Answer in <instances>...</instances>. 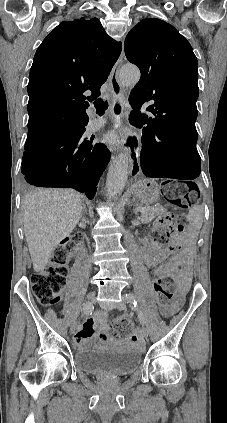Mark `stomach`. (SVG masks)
I'll return each mask as SVG.
<instances>
[{
    "mask_svg": "<svg viewBox=\"0 0 227 423\" xmlns=\"http://www.w3.org/2000/svg\"><path fill=\"white\" fill-rule=\"evenodd\" d=\"M132 192L137 202L141 204H156L160 200L158 184L154 180H140L132 186Z\"/></svg>",
    "mask_w": 227,
    "mask_h": 423,
    "instance_id": "obj_1",
    "label": "stomach"
}]
</instances>
